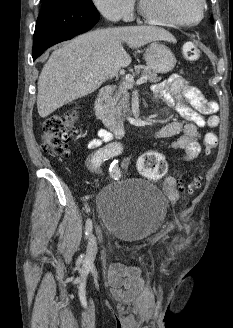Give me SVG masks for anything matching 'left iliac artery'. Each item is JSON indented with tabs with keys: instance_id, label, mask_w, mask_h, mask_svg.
I'll use <instances>...</instances> for the list:
<instances>
[{
	"instance_id": "1",
	"label": "left iliac artery",
	"mask_w": 233,
	"mask_h": 328,
	"mask_svg": "<svg viewBox=\"0 0 233 328\" xmlns=\"http://www.w3.org/2000/svg\"><path fill=\"white\" fill-rule=\"evenodd\" d=\"M117 163H118V161L114 160L110 166V175L114 179H118L121 176V172H120V169L118 168Z\"/></svg>"
}]
</instances>
